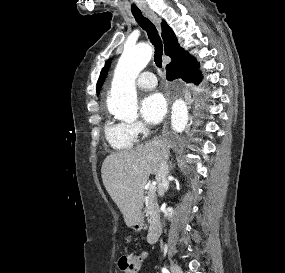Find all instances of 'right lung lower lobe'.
Here are the masks:
<instances>
[{"label":"right lung lower lobe","mask_w":285,"mask_h":273,"mask_svg":"<svg viewBox=\"0 0 285 273\" xmlns=\"http://www.w3.org/2000/svg\"><path fill=\"white\" fill-rule=\"evenodd\" d=\"M198 66L199 63L195 58L189 56L179 63L166 66V77L170 81L181 78L186 82H194L197 85L202 79Z\"/></svg>","instance_id":"1"}]
</instances>
